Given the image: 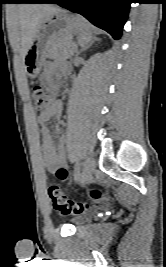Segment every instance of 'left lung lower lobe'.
Here are the masks:
<instances>
[{
	"mask_svg": "<svg viewBox=\"0 0 166 267\" xmlns=\"http://www.w3.org/2000/svg\"><path fill=\"white\" fill-rule=\"evenodd\" d=\"M34 3H56L79 13L118 40L132 2L131 0H37Z\"/></svg>",
	"mask_w": 166,
	"mask_h": 267,
	"instance_id": "1",
	"label": "left lung lower lobe"
}]
</instances>
